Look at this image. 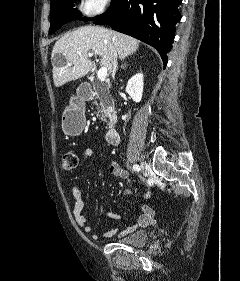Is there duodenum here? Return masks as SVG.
Returning a JSON list of instances; mask_svg holds the SVG:
<instances>
[{"mask_svg":"<svg viewBox=\"0 0 240 281\" xmlns=\"http://www.w3.org/2000/svg\"><path fill=\"white\" fill-rule=\"evenodd\" d=\"M92 94V90L90 87H85L81 90V95L83 98H89ZM106 141L109 144H117L120 140L119 132L117 130L115 121H111L107 127L105 134Z\"/></svg>","mask_w":240,"mask_h":281,"instance_id":"1","label":"duodenum"}]
</instances>
